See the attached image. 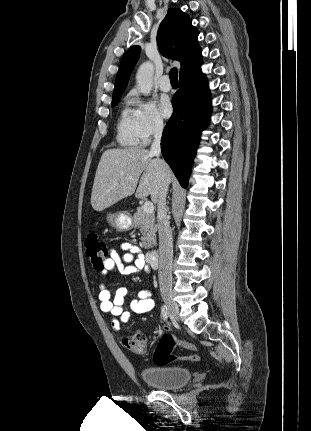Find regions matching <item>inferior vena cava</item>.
<instances>
[{
    "label": "inferior vena cava",
    "mask_w": 311,
    "mask_h": 431,
    "mask_svg": "<svg viewBox=\"0 0 311 431\" xmlns=\"http://www.w3.org/2000/svg\"><path fill=\"white\" fill-rule=\"evenodd\" d=\"M163 132L162 120L156 122L154 128V140L151 144L150 154L160 160L161 138ZM169 184L167 180H161L160 194L157 200V221L159 233V285L161 295H170L172 291V259L173 239L169 221L167 219L166 198Z\"/></svg>",
    "instance_id": "602c4592"
}]
</instances>
